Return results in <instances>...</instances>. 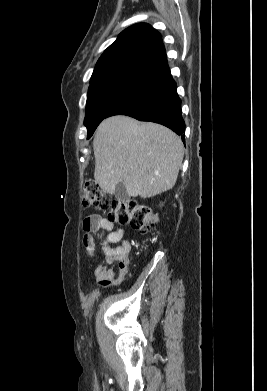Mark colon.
<instances>
[{
  "label": "colon",
  "instance_id": "obj_1",
  "mask_svg": "<svg viewBox=\"0 0 267 391\" xmlns=\"http://www.w3.org/2000/svg\"><path fill=\"white\" fill-rule=\"evenodd\" d=\"M82 205L107 213L109 221L130 225L141 232H149L157 224V216L149 206L137 200L108 199L106 193L94 181H88L82 189Z\"/></svg>",
  "mask_w": 267,
  "mask_h": 391
}]
</instances>
